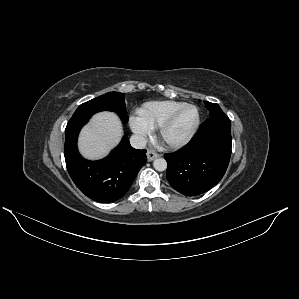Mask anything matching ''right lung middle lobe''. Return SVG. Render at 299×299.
Returning a JSON list of instances; mask_svg holds the SVG:
<instances>
[{
  "instance_id": "obj_1",
  "label": "right lung middle lobe",
  "mask_w": 299,
  "mask_h": 299,
  "mask_svg": "<svg viewBox=\"0 0 299 299\" xmlns=\"http://www.w3.org/2000/svg\"><path fill=\"white\" fill-rule=\"evenodd\" d=\"M124 97V93L108 92L81 104L72 117L85 115L92 116L99 111H114L119 114L123 122H127L128 116L125 109Z\"/></svg>"
}]
</instances>
